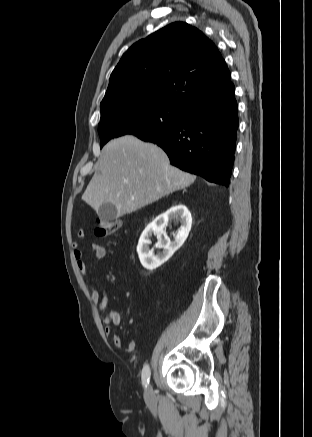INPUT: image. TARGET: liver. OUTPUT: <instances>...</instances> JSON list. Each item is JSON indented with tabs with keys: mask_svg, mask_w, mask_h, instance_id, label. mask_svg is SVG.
Returning <instances> with one entry per match:
<instances>
[{
	"mask_svg": "<svg viewBox=\"0 0 312 437\" xmlns=\"http://www.w3.org/2000/svg\"><path fill=\"white\" fill-rule=\"evenodd\" d=\"M195 179L172 166L157 145L126 135L104 146L82 200L96 212L103 203H111L121 217L189 186Z\"/></svg>",
	"mask_w": 312,
	"mask_h": 437,
	"instance_id": "1",
	"label": "liver"
}]
</instances>
